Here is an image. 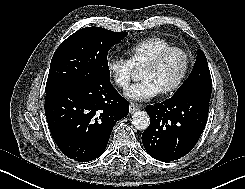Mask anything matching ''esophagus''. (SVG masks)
I'll return each instance as SVG.
<instances>
[{
	"mask_svg": "<svg viewBox=\"0 0 245 189\" xmlns=\"http://www.w3.org/2000/svg\"><path fill=\"white\" fill-rule=\"evenodd\" d=\"M137 110H139V106H137L135 104H130V106H129V112H130V114H133Z\"/></svg>",
	"mask_w": 245,
	"mask_h": 189,
	"instance_id": "1",
	"label": "esophagus"
}]
</instances>
